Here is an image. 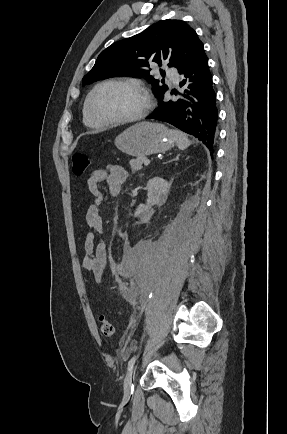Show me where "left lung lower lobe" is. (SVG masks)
<instances>
[{
    "instance_id": "0a47b994",
    "label": "left lung lower lobe",
    "mask_w": 287,
    "mask_h": 434,
    "mask_svg": "<svg viewBox=\"0 0 287 434\" xmlns=\"http://www.w3.org/2000/svg\"><path fill=\"white\" fill-rule=\"evenodd\" d=\"M184 93L177 101L159 99V107L147 118L168 122L198 138L211 152L217 138L218 111L212 75L205 53L178 70Z\"/></svg>"
}]
</instances>
